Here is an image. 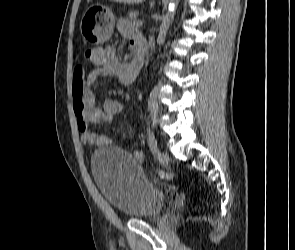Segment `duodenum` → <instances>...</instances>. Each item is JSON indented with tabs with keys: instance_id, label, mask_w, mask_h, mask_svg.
<instances>
[{
	"instance_id": "1",
	"label": "duodenum",
	"mask_w": 295,
	"mask_h": 250,
	"mask_svg": "<svg viewBox=\"0 0 295 250\" xmlns=\"http://www.w3.org/2000/svg\"><path fill=\"white\" fill-rule=\"evenodd\" d=\"M146 57V51L143 47H138L136 51L137 68L140 70Z\"/></svg>"
}]
</instances>
